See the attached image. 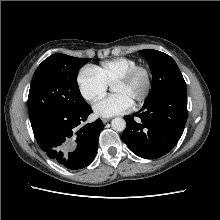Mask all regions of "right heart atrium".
I'll use <instances>...</instances> for the list:
<instances>
[{"label":"right heart atrium","instance_id":"obj_1","mask_svg":"<svg viewBox=\"0 0 220 220\" xmlns=\"http://www.w3.org/2000/svg\"><path fill=\"white\" fill-rule=\"evenodd\" d=\"M77 85L80 95L88 103H93L102 97L107 90V85L97 76L92 67H85L79 72Z\"/></svg>","mask_w":220,"mask_h":220}]
</instances>
